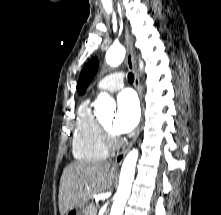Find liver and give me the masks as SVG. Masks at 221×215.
I'll list each match as a JSON object with an SVG mask.
<instances>
[{
  "instance_id": "obj_1",
  "label": "liver",
  "mask_w": 221,
  "mask_h": 215,
  "mask_svg": "<svg viewBox=\"0 0 221 215\" xmlns=\"http://www.w3.org/2000/svg\"><path fill=\"white\" fill-rule=\"evenodd\" d=\"M109 162H74L61 176L59 186V211L61 215L84 207L92 195L110 188L114 168Z\"/></svg>"
}]
</instances>
